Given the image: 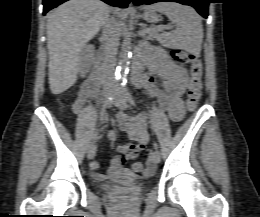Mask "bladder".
<instances>
[{"label": "bladder", "instance_id": "obj_1", "mask_svg": "<svg viewBox=\"0 0 260 217\" xmlns=\"http://www.w3.org/2000/svg\"><path fill=\"white\" fill-rule=\"evenodd\" d=\"M138 178V175L129 169H120L115 173L113 180L121 184H131ZM137 190L142 191L145 185L139 184L136 186Z\"/></svg>", "mask_w": 260, "mask_h": 217}]
</instances>
